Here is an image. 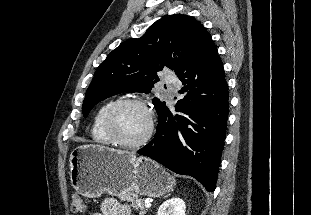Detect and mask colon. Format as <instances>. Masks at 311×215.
Instances as JSON below:
<instances>
[{"label":"colon","mask_w":311,"mask_h":215,"mask_svg":"<svg viewBox=\"0 0 311 215\" xmlns=\"http://www.w3.org/2000/svg\"><path fill=\"white\" fill-rule=\"evenodd\" d=\"M71 210L74 213H82V212H84L86 210V203H85L84 199L80 195L74 194L72 196Z\"/></svg>","instance_id":"colon-1"}]
</instances>
